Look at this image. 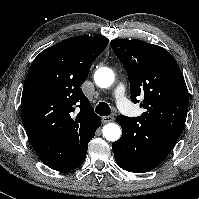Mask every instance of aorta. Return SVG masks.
Returning <instances> with one entry per match:
<instances>
[{"label": "aorta", "mask_w": 199, "mask_h": 199, "mask_svg": "<svg viewBox=\"0 0 199 199\" xmlns=\"http://www.w3.org/2000/svg\"><path fill=\"white\" fill-rule=\"evenodd\" d=\"M113 71L108 67L99 68L94 75V80L100 88H109L114 82ZM103 136L108 141H117L121 136V128L115 123H108L103 127Z\"/></svg>", "instance_id": "aorta-1"}]
</instances>
